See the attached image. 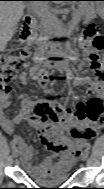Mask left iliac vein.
<instances>
[{
    "instance_id": "4c4485c4",
    "label": "left iliac vein",
    "mask_w": 104,
    "mask_h": 189,
    "mask_svg": "<svg viewBox=\"0 0 104 189\" xmlns=\"http://www.w3.org/2000/svg\"><path fill=\"white\" fill-rule=\"evenodd\" d=\"M87 158H88V151H84L83 154H82L81 159H82L83 161H86Z\"/></svg>"
}]
</instances>
